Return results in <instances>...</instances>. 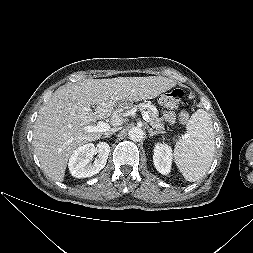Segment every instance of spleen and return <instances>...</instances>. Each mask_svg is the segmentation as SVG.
<instances>
[{
	"label": "spleen",
	"mask_w": 253,
	"mask_h": 253,
	"mask_svg": "<svg viewBox=\"0 0 253 253\" xmlns=\"http://www.w3.org/2000/svg\"><path fill=\"white\" fill-rule=\"evenodd\" d=\"M214 132L211 118L203 109L192 114L187 133L178 140L174 160L184 178L189 182L201 179L213 161Z\"/></svg>",
	"instance_id": "obj_1"
}]
</instances>
